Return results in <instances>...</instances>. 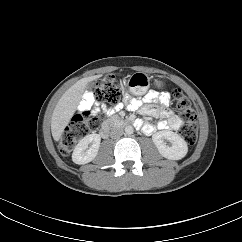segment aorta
Wrapping results in <instances>:
<instances>
[{"label":"aorta","instance_id":"aorta-1","mask_svg":"<svg viewBox=\"0 0 242 242\" xmlns=\"http://www.w3.org/2000/svg\"><path fill=\"white\" fill-rule=\"evenodd\" d=\"M124 131H125V134L126 135H131V134H133L134 129H133L132 126H126L125 129H124Z\"/></svg>","mask_w":242,"mask_h":242}]
</instances>
